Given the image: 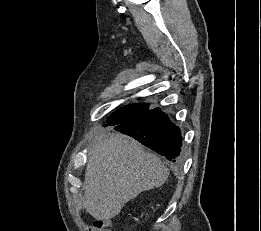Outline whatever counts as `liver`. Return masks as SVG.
<instances>
[{"mask_svg":"<svg viewBox=\"0 0 261 231\" xmlns=\"http://www.w3.org/2000/svg\"><path fill=\"white\" fill-rule=\"evenodd\" d=\"M168 169L155 154L120 133L97 136L90 147L84 207L97 220L108 221L142 191L165 183Z\"/></svg>","mask_w":261,"mask_h":231,"instance_id":"obj_1","label":"liver"}]
</instances>
